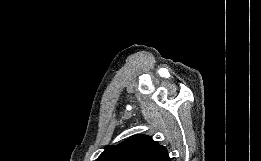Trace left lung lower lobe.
I'll list each match as a JSON object with an SVG mask.
<instances>
[{
  "instance_id": "0a47b994",
  "label": "left lung lower lobe",
  "mask_w": 261,
  "mask_h": 161,
  "mask_svg": "<svg viewBox=\"0 0 261 161\" xmlns=\"http://www.w3.org/2000/svg\"><path fill=\"white\" fill-rule=\"evenodd\" d=\"M155 161H170L167 150H165Z\"/></svg>"
}]
</instances>
